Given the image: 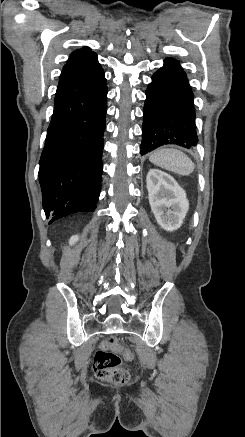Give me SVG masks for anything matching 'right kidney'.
<instances>
[{"label":"right kidney","mask_w":245,"mask_h":437,"mask_svg":"<svg viewBox=\"0 0 245 437\" xmlns=\"http://www.w3.org/2000/svg\"><path fill=\"white\" fill-rule=\"evenodd\" d=\"M78 236L77 235H75V236H72L71 238H70V241H69V243L72 245V244H74V243H76L77 241H78Z\"/></svg>","instance_id":"1"}]
</instances>
